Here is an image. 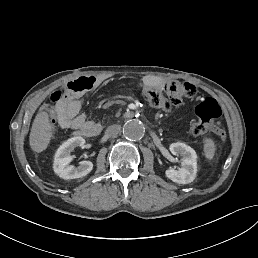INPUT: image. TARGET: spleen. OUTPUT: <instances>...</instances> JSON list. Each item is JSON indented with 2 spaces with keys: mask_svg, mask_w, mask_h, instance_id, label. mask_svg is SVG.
I'll return each instance as SVG.
<instances>
[{
  "mask_svg": "<svg viewBox=\"0 0 258 258\" xmlns=\"http://www.w3.org/2000/svg\"><path fill=\"white\" fill-rule=\"evenodd\" d=\"M204 142V153H205V157L207 159H212L214 157L215 154V144L214 141L210 138H205L203 140Z\"/></svg>",
  "mask_w": 258,
  "mask_h": 258,
  "instance_id": "3e777b00",
  "label": "spleen"
}]
</instances>
